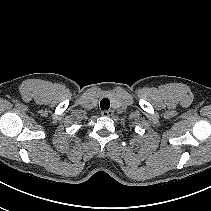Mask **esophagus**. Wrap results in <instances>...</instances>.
<instances>
[{
	"instance_id": "esophagus-1",
	"label": "esophagus",
	"mask_w": 211,
	"mask_h": 211,
	"mask_svg": "<svg viewBox=\"0 0 211 211\" xmlns=\"http://www.w3.org/2000/svg\"><path fill=\"white\" fill-rule=\"evenodd\" d=\"M114 114V111L112 110V109H110V110H104V111H102L101 112V115L102 116H112Z\"/></svg>"
}]
</instances>
